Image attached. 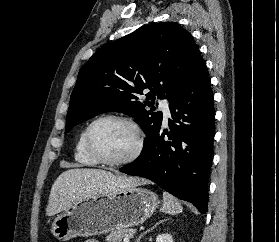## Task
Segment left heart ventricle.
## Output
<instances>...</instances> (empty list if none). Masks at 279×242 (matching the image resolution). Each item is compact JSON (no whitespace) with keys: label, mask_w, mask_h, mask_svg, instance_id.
Instances as JSON below:
<instances>
[{"label":"left heart ventricle","mask_w":279,"mask_h":242,"mask_svg":"<svg viewBox=\"0 0 279 242\" xmlns=\"http://www.w3.org/2000/svg\"><path fill=\"white\" fill-rule=\"evenodd\" d=\"M93 142L96 150L103 157L119 160L133 151L136 138L129 125L118 121H104L95 127Z\"/></svg>","instance_id":"1"}]
</instances>
